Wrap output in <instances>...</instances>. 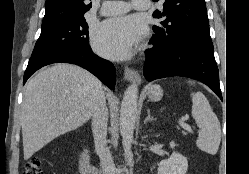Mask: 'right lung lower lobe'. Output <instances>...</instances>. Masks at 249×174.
Segmentation results:
<instances>
[{"instance_id": "obj_1", "label": "right lung lower lobe", "mask_w": 249, "mask_h": 174, "mask_svg": "<svg viewBox=\"0 0 249 174\" xmlns=\"http://www.w3.org/2000/svg\"><path fill=\"white\" fill-rule=\"evenodd\" d=\"M58 62L79 65L94 74L110 89L113 90L115 88L116 71L113 64L95 55L91 47L85 49L48 50L31 55L25 70L23 84L41 67Z\"/></svg>"}]
</instances>
